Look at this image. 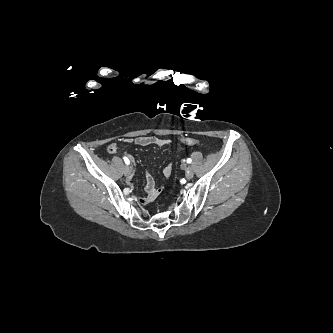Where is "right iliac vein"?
Here are the masks:
<instances>
[{"mask_svg":"<svg viewBox=\"0 0 333 333\" xmlns=\"http://www.w3.org/2000/svg\"><path fill=\"white\" fill-rule=\"evenodd\" d=\"M123 172H124L125 175H128L129 172H130V168L125 165L124 168H123Z\"/></svg>","mask_w":333,"mask_h":333,"instance_id":"63e3f726","label":"right iliac vein"}]
</instances>
